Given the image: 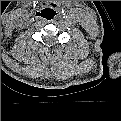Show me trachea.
Here are the masks:
<instances>
[{"label":"trachea","instance_id":"obj_1","mask_svg":"<svg viewBox=\"0 0 121 121\" xmlns=\"http://www.w3.org/2000/svg\"><path fill=\"white\" fill-rule=\"evenodd\" d=\"M56 15V11H54L53 9H46L43 12V17L47 20H52Z\"/></svg>","mask_w":121,"mask_h":121}]
</instances>
